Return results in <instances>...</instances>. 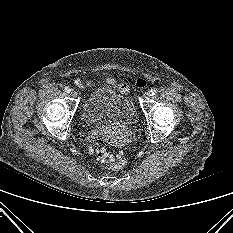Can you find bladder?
Wrapping results in <instances>:
<instances>
[{
    "label": "bladder",
    "mask_w": 233,
    "mask_h": 233,
    "mask_svg": "<svg viewBox=\"0 0 233 233\" xmlns=\"http://www.w3.org/2000/svg\"><path fill=\"white\" fill-rule=\"evenodd\" d=\"M82 118L91 125H131L136 121L137 111L133 101L111 87L94 90L83 106Z\"/></svg>",
    "instance_id": "1"
}]
</instances>
